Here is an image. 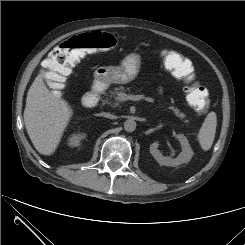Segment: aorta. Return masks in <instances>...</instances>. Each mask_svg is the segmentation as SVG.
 <instances>
[{
    "label": "aorta",
    "mask_w": 245,
    "mask_h": 245,
    "mask_svg": "<svg viewBox=\"0 0 245 245\" xmlns=\"http://www.w3.org/2000/svg\"><path fill=\"white\" fill-rule=\"evenodd\" d=\"M136 126H137V124L133 119H127L124 122V129L127 132H133L136 129Z\"/></svg>",
    "instance_id": "obj_1"
}]
</instances>
